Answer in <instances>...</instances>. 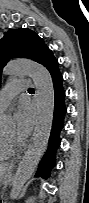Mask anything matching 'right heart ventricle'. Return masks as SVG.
Wrapping results in <instances>:
<instances>
[{"instance_id": "right-heart-ventricle-1", "label": "right heart ventricle", "mask_w": 89, "mask_h": 203, "mask_svg": "<svg viewBox=\"0 0 89 203\" xmlns=\"http://www.w3.org/2000/svg\"><path fill=\"white\" fill-rule=\"evenodd\" d=\"M10 154L6 151L2 138L0 136V160H6Z\"/></svg>"}]
</instances>
